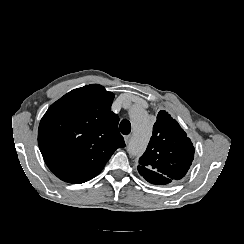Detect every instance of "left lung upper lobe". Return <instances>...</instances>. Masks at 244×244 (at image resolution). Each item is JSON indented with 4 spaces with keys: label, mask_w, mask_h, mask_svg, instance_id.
Here are the masks:
<instances>
[{
    "label": "left lung upper lobe",
    "mask_w": 244,
    "mask_h": 244,
    "mask_svg": "<svg viewBox=\"0 0 244 244\" xmlns=\"http://www.w3.org/2000/svg\"><path fill=\"white\" fill-rule=\"evenodd\" d=\"M194 147L178 122L161 110L153 135L139 159L138 172L152 184L166 185L182 179L194 158Z\"/></svg>",
    "instance_id": "left-lung-upper-lobe-1"
}]
</instances>
